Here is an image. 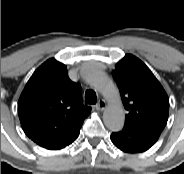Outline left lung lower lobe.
Instances as JSON below:
<instances>
[{"instance_id": "0a47b994", "label": "left lung lower lobe", "mask_w": 184, "mask_h": 174, "mask_svg": "<svg viewBox=\"0 0 184 174\" xmlns=\"http://www.w3.org/2000/svg\"><path fill=\"white\" fill-rule=\"evenodd\" d=\"M159 137L139 132L127 127L122 131L112 133L111 141L120 150L128 153H139L148 150Z\"/></svg>"}]
</instances>
